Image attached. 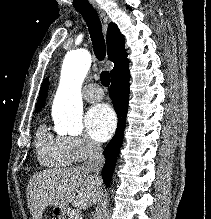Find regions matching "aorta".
Segmentation results:
<instances>
[{
  "label": "aorta",
  "mask_w": 211,
  "mask_h": 219,
  "mask_svg": "<svg viewBox=\"0 0 211 219\" xmlns=\"http://www.w3.org/2000/svg\"><path fill=\"white\" fill-rule=\"evenodd\" d=\"M90 65L91 55L85 49L69 51L64 58L54 100L55 120L61 133L77 136L83 130L81 86Z\"/></svg>",
  "instance_id": "aorta-1"
}]
</instances>
